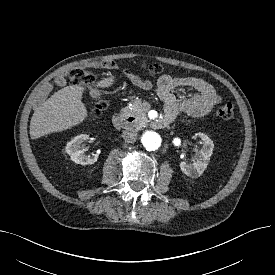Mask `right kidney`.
Listing matches in <instances>:
<instances>
[{
	"instance_id": "ca27d5eb",
	"label": "right kidney",
	"mask_w": 275,
	"mask_h": 275,
	"mask_svg": "<svg viewBox=\"0 0 275 275\" xmlns=\"http://www.w3.org/2000/svg\"><path fill=\"white\" fill-rule=\"evenodd\" d=\"M89 139V135L80 134L74 137L70 142L67 143L65 149L67 154L70 155L71 160L76 164L91 165L98 159V155L90 156L85 154V150L82 143Z\"/></svg>"
}]
</instances>
